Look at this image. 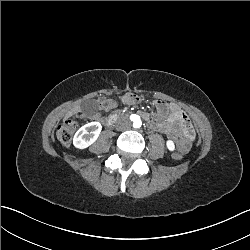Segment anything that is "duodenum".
Returning <instances> with one entry per match:
<instances>
[{"label":"duodenum","instance_id":"duodenum-1","mask_svg":"<svg viewBox=\"0 0 250 250\" xmlns=\"http://www.w3.org/2000/svg\"><path fill=\"white\" fill-rule=\"evenodd\" d=\"M119 118L118 114H114L110 117V122L109 124L112 125L114 123L115 120H117Z\"/></svg>","mask_w":250,"mask_h":250}]
</instances>
